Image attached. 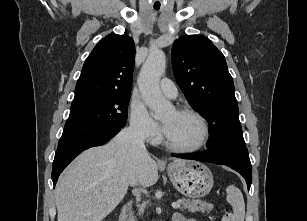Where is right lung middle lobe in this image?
Here are the masks:
<instances>
[{"instance_id": "obj_1", "label": "right lung middle lobe", "mask_w": 307, "mask_h": 221, "mask_svg": "<svg viewBox=\"0 0 307 221\" xmlns=\"http://www.w3.org/2000/svg\"><path fill=\"white\" fill-rule=\"evenodd\" d=\"M131 93H113L72 102L58 145L122 128Z\"/></svg>"}]
</instances>
